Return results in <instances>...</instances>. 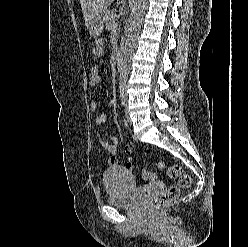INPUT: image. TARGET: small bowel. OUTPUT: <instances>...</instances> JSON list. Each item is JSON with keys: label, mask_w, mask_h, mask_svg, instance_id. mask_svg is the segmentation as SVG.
I'll return each instance as SVG.
<instances>
[{"label": "small bowel", "mask_w": 248, "mask_h": 247, "mask_svg": "<svg viewBox=\"0 0 248 247\" xmlns=\"http://www.w3.org/2000/svg\"><path fill=\"white\" fill-rule=\"evenodd\" d=\"M104 54V42L102 40H98L95 44V47L92 50V55L94 58L101 57ZM90 70V85L97 86L101 83V76L98 71V66L95 62H91L89 66ZM92 111H96L98 109L97 102H92L90 105ZM106 120L105 113H99L94 117V122L96 125H101ZM111 143L102 141L103 148L111 155L108 162L110 165L115 166L118 165L119 161L116 157L117 153V145H118V138L116 136L110 137ZM132 149L130 147L125 148V154L127 156V161L124 164L123 168L132 173L133 171V163L131 159Z\"/></svg>", "instance_id": "1"}]
</instances>
